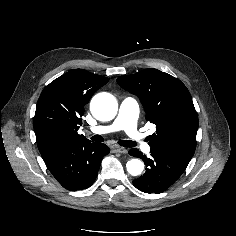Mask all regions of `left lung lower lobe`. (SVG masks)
<instances>
[{"instance_id": "0a47b994", "label": "left lung lower lobe", "mask_w": 236, "mask_h": 236, "mask_svg": "<svg viewBox=\"0 0 236 236\" xmlns=\"http://www.w3.org/2000/svg\"><path fill=\"white\" fill-rule=\"evenodd\" d=\"M129 154L141 158L146 164L145 173L133 181L134 186L145 193L159 194L168 189L189 163L153 147L150 158L135 148Z\"/></svg>"}]
</instances>
